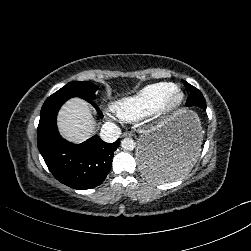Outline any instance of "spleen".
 Segmentation results:
<instances>
[{"label": "spleen", "instance_id": "spleen-1", "mask_svg": "<svg viewBox=\"0 0 251 251\" xmlns=\"http://www.w3.org/2000/svg\"><path fill=\"white\" fill-rule=\"evenodd\" d=\"M196 161V158L194 160H184L181 161L178 167V170L174 172H170V170L167 167H164L158 163H150L149 164V176L150 179H158V180H176L183 176L185 173H188L193 163Z\"/></svg>", "mask_w": 251, "mask_h": 251}]
</instances>
